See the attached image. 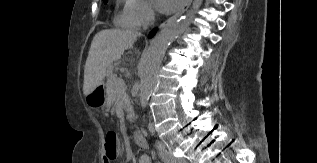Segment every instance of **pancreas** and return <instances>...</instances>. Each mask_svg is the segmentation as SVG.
<instances>
[{
    "label": "pancreas",
    "mask_w": 317,
    "mask_h": 163,
    "mask_svg": "<svg viewBox=\"0 0 317 163\" xmlns=\"http://www.w3.org/2000/svg\"><path fill=\"white\" fill-rule=\"evenodd\" d=\"M118 68V64H114V66L109 68V73L107 76V83H106V94H107V103L111 105L113 102L118 101L121 102L123 108L127 112V120L132 121L134 119V111L131 105L130 98L126 93V87L120 88L117 85V81L121 78L117 77L116 73H113Z\"/></svg>",
    "instance_id": "cf45deb5"
}]
</instances>
